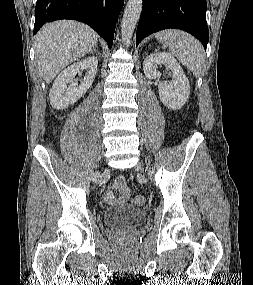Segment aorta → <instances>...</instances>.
I'll list each match as a JSON object with an SVG mask.
<instances>
[{
  "label": "aorta",
  "instance_id": "1",
  "mask_svg": "<svg viewBox=\"0 0 253 285\" xmlns=\"http://www.w3.org/2000/svg\"><path fill=\"white\" fill-rule=\"evenodd\" d=\"M143 7V0H128L121 22V37L127 44L133 36Z\"/></svg>",
  "mask_w": 253,
  "mask_h": 285
}]
</instances>
